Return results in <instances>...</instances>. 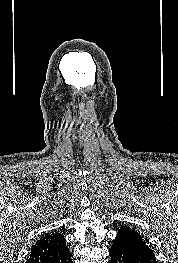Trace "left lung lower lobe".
Instances as JSON below:
<instances>
[{
  "mask_svg": "<svg viewBox=\"0 0 178 263\" xmlns=\"http://www.w3.org/2000/svg\"><path fill=\"white\" fill-rule=\"evenodd\" d=\"M109 255L108 263H157L141 234L127 226L119 229Z\"/></svg>",
  "mask_w": 178,
  "mask_h": 263,
  "instance_id": "obj_1",
  "label": "left lung lower lobe"
}]
</instances>
